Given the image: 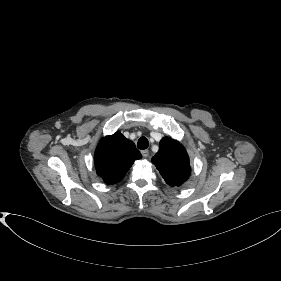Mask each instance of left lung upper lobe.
<instances>
[{"label":"left lung upper lobe","instance_id":"obj_1","mask_svg":"<svg viewBox=\"0 0 281 281\" xmlns=\"http://www.w3.org/2000/svg\"><path fill=\"white\" fill-rule=\"evenodd\" d=\"M165 182L174 187L182 185L190 176L191 167L188 154L178 141L164 137L159 151L152 157Z\"/></svg>","mask_w":281,"mask_h":281}]
</instances>
